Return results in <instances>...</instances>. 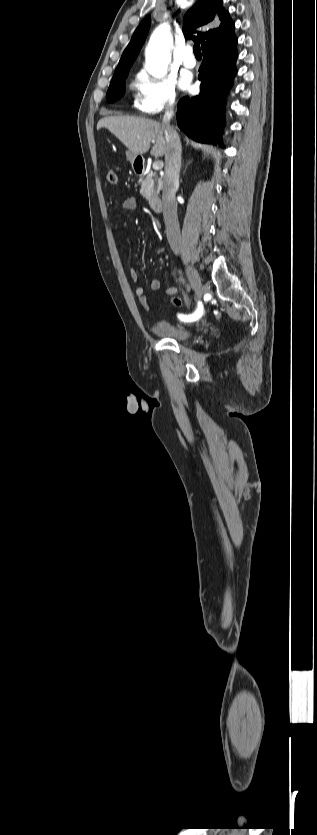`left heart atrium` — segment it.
Returning a JSON list of instances; mask_svg holds the SVG:
<instances>
[{
  "mask_svg": "<svg viewBox=\"0 0 317 835\" xmlns=\"http://www.w3.org/2000/svg\"><path fill=\"white\" fill-rule=\"evenodd\" d=\"M182 86L184 88H190V79L188 77H184L182 80Z\"/></svg>",
  "mask_w": 317,
  "mask_h": 835,
  "instance_id": "left-heart-atrium-1",
  "label": "left heart atrium"
}]
</instances>
